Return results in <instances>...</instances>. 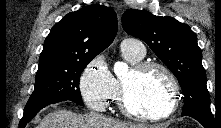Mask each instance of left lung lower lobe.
Masks as SVG:
<instances>
[{"label":"left lung lower lobe","mask_w":221,"mask_h":128,"mask_svg":"<svg viewBox=\"0 0 221 128\" xmlns=\"http://www.w3.org/2000/svg\"><path fill=\"white\" fill-rule=\"evenodd\" d=\"M182 116H190L197 121H199L205 128H215L217 127V121H215V118L213 115H204V114H198V113H193V114H187V115H182Z\"/></svg>","instance_id":"1"}]
</instances>
